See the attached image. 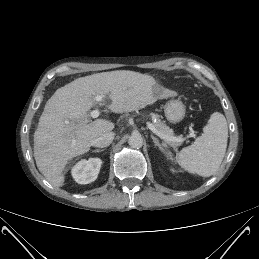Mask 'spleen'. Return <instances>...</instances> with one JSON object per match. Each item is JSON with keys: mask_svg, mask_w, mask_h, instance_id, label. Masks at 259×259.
<instances>
[{"mask_svg": "<svg viewBox=\"0 0 259 259\" xmlns=\"http://www.w3.org/2000/svg\"><path fill=\"white\" fill-rule=\"evenodd\" d=\"M228 139L226 118L214 112L191 146L183 148L176 156L175 163L192 174L202 177L213 175L225 156Z\"/></svg>", "mask_w": 259, "mask_h": 259, "instance_id": "spleen-1", "label": "spleen"}]
</instances>
